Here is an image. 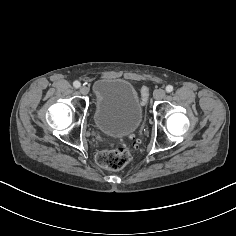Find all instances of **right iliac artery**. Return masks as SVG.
<instances>
[{"label":"right iliac artery","instance_id":"obj_1","mask_svg":"<svg viewBox=\"0 0 236 236\" xmlns=\"http://www.w3.org/2000/svg\"><path fill=\"white\" fill-rule=\"evenodd\" d=\"M80 82L79 81H75L74 83H73V86L75 87V88H79L80 87Z\"/></svg>","mask_w":236,"mask_h":236}]
</instances>
